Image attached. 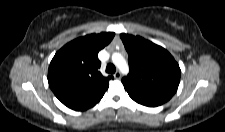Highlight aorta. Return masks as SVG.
<instances>
[{
	"label": "aorta",
	"instance_id": "aorta-1",
	"mask_svg": "<svg viewBox=\"0 0 225 132\" xmlns=\"http://www.w3.org/2000/svg\"><path fill=\"white\" fill-rule=\"evenodd\" d=\"M112 61L117 67H119V69L121 71H123L124 69H128V66H127V64L125 62V59H124V57L121 54L113 53Z\"/></svg>",
	"mask_w": 225,
	"mask_h": 132
}]
</instances>
